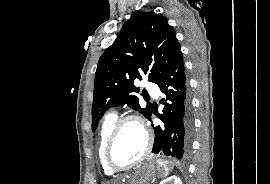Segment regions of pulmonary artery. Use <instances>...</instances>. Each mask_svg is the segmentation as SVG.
Wrapping results in <instances>:
<instances>
[{
  "instance_id": "pulmonary-artery-1",
  "label": "pulmonary artery",
  "mask_w": 270,
  "mask_h": 184,
  "mask_svg": "<svg viewBox=\"0 0 270 184\" xmlns=\"http://www.w3.org/2000/svg\"><path fill=\"white\" fill-rule=\"evenodd\" d=\"M146 89L148 90L149 93H151V94H153L155 96L159 92L158 87L154 83H151V82H148L146 84Z\"/></svg>"
}]
</instances>
